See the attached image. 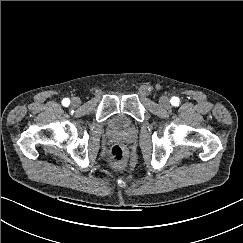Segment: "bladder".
<instances>
[{"label":"bladder","instance_id":"31cf9c89","mask_svg":"<svg viewBox=\"0 0 243 243\" xmlns=\"http://www.w3.org/2000/svg\"><path fill=\"white\" fill-rule=\"evenodd\" d=\"M111 125L115 129H121L125 126V121L121 117H114L111 120Z\"/></svg>","mask_w":243,"mask_h":243}]
</instances>
